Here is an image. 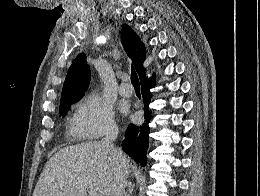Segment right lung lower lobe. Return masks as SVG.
<instances>
[{
    "mask_svg": "<svg viewBox=\"0 0 260 196\" xmlns=\"http://www.w3.org/2000/svg\"><path fill=\"white\" fill-rule=\"evenodd\" d=\"M153 85L154 82L151 79L146 78L141 81L145 122L141 126L130 124L125 132V139L122 142V149L136 162L140 163L141 166H145L147 163L146 152L149 144V122L152 118L151 112L148 109V104L151 99L149 89L152 88Z\"/></svg>",
    "mask_w": 260,
    "mask_h": 196,
    "instance_id": "obj_1",
    "label": "right lung lower lobe"
}]
</instances>
